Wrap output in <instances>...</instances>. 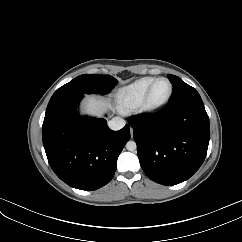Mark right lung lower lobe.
I'll return each mask as SVG.
<instances>
[{"instance_id": "right-lung-lower-lobe-1", "label": "right lung lower lobe", "mask_w": 242, "mask_h": 242, "mask_svg": "<svg viewBox=\"0 0 242 242\" xmlns=\"http://www.w3.org/2000/svg\"><path fill=\"white\" fill-rule=\"evenodd\" d=\"M82 98L66 97L48 105L42 138L55 174L71 187L91 191L112 179L130 128L127 124L113 131L103 118L81 117L77 106Z\"/></svg>"}]
</instances>
